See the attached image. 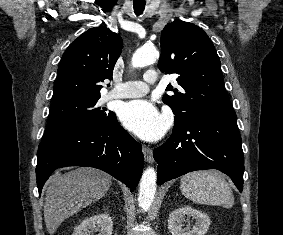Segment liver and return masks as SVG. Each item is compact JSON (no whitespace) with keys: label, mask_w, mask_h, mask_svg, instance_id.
<instances>
[{"label":"liver","mask_w":283,"mask_h":235,"mask_svg":"<svg viewBox=\"0 0 283 235\" xmlns=\"http://www.w3.org/2000/svg\"><path fill=\"white\" fill-rule=\"evenodd\" d=\"M111 185L110 175L89 167L52 176L44 204V221L49 234L53 235L65 219L102 198Z\"/></svg>","instance_id":"liver-1"}]
</instances>
